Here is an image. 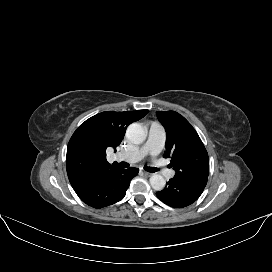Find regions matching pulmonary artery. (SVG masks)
Returning <instances> with one entry per match:
<instances>
[{"mask_svg": "<svg viewBox=\"0 0 272 272\" xmlns=\"http://www.w3.org/2000/svg\"><path fill=\"white\" fill-rule=\"evenodd\" d=\"M165 138L164 129L157 123H150L145 143L140 148L130 152L118 153L117 158L128 162H137L147 155L156 156L162 151L165 145ZM160 171L168 179L173 178L175 175L173 169L160 168Z\"/></svg>", "mask_w": 272, "mask_h": 272, "instance_id": "1", "label": "pulmonary artery"}]
</instances>
